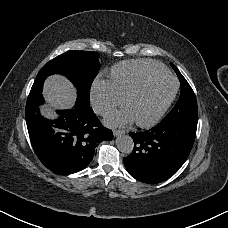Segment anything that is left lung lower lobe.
Wrapping results in <instances>:
<instances>
[{"instance_id": "1", "label": "left lung lower lobe", "mask_w": 228, "mask_h": 228, "mask_svg": "<svg viewBox=\"0 0 228 228\" xmlns=\"http://www.w3.org/2000/svg\"><path fill=\"white\" fill-rule=\"evenodd\" d=\"M191 126L156 125L148 131L129 135L134 140L132 153L123 158L135 179L149 184L172 177L186 161L196 136Z\"/></svg>"}]
</instances>
